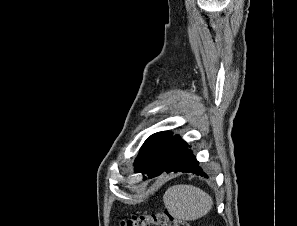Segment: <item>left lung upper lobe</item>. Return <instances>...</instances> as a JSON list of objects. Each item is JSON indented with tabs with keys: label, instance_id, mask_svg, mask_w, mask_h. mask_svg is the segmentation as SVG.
Wrapping results in <instances>:
<instances>
[{
	"label": "left lung upper lobe",
	"instance_id": "left-lung-upper-lobe-1",
	"mask_svg": "<svg viewBox=\"0 0 297 226\" xmlns=\"http://www.w3.org/2000/svg\"><path fill=\"white\" fill-rule=\"evenodd\" d=\"M173 138V133L167 131L151 135L140 149L138 157L134 163L135 170L149 175Z\"/></svg>",
	"mask_w": 297,
	"mask_h": 226
}]
</instances>
